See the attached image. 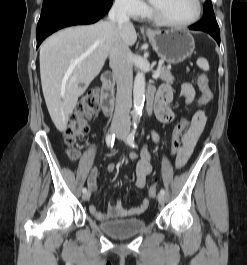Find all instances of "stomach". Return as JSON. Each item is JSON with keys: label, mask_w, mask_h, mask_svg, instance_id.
Masks as SVG:
<instances>
[{"label": "stomach", "mask_w": 247, "mask_h": 265, "mask_svg": "<svg viewBox=\"0 0 247 265\" xmlns=\"http://www.w3.org/2000/svg\"><path fill=\"white\" fill-rule=\"evenodd\" d=\"M146 34L158 57L169 64L183 62L195 49L193 36L183 29L148 30Z\"/></svg>", "instance_id": "0dacf381"}]
</instances>
